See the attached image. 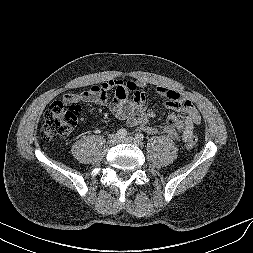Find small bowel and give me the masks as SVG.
<instances>
[{
  "instance_id": "obj_1",
  "label": "small bowel",
  "mask_w": 253,
  "mask_h": 253,
  "mask_svg": "<svg viewBox=\"0 0 253 253\" xmlns=\"http://www.w3.org/2000/svg\"><path fill=\"white\" fill-rule=\"evenodd\" d=\"M146 85L144 80H130L124 82L119 78L109 79L99 85L80 91L71 92L64 96L66 102H91L99 105L107 104L110 90L115 94L109 107L113 115L125 120L129 126H141L150 134H162L171 139L188 141L193 136V127L201 122V115L190 99L180 92L163 87H156V92L166 99V107L171 110L167 123L161 126H152L149 120L154 117V112L147 105L142 88ZM180 112L181 115L177 114Z\"/></svg>"
}]
</instances>
